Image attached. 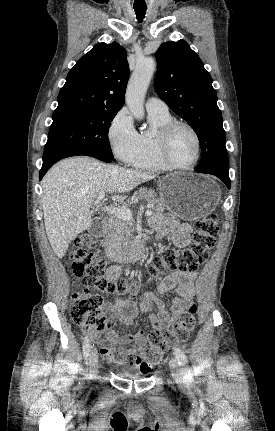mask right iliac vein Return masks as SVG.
<instances>
[{"label": "right iliac vein", "instance_id": "1", "mask_svg": "<svg viewBox=\"0 0 275 431\" xmlns=\"http://www.w3.org/2000/svg\"><path fill=\"white\" fill-rule=\"evenodd\" d=\"M90 374L95 375L98 366V352L93 348L89 354Z\"/></svg>", "mask_w": 275, "mask_h": 431}]
</instances>
